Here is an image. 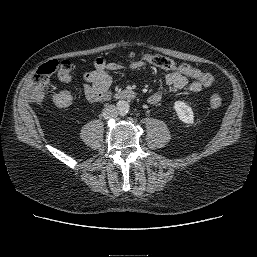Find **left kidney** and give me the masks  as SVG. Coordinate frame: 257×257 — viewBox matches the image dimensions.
<instances>
[{
	"instance_id": "5707ae66",
	"label": "left kidney",
	"mask_w": 257,
	"mask_h": 257,
	"mask_svg": "<svg viewBox=\"0 0 257 257\" xmlns=\"http://www.w3.org/2000/svg\"><path fill=\"white\" fill-rule=\"evenodd\" d=\"M174 109L177 113L178 118L186 123V124H193L194 123V113L192 108L188 106L183 101H176L174 103Z\"/></svg>"
}]
</instances>
